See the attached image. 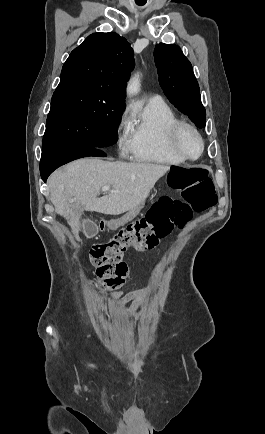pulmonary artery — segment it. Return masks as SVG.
I'll return each instance as SVG.
<instances>
[{
	"instance_id": "1",
	"label": "pulmonary artery",
	"mask_w": 265,
	"mask_h": 434,
	"mask_svg": "<svg viewBox=\"0 0 265 434\" xmlns=\"http://www.w3.org/2000/svg\"><path fill=\"white\" fill-rule=\"evenodd\" d=\"M159 96H160L159 93L155 91V92L152 93V95L150 96L149 99H150L151 102L154 103V102L157 101V99L159 98Z\"/></svg>"
}]
</instances>
